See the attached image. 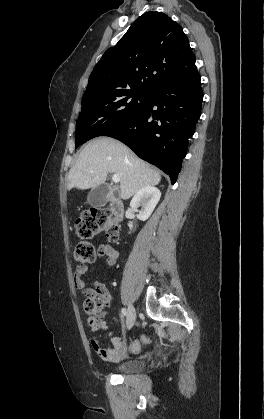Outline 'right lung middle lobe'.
<instances>
[{
  "label": "right lung middle lobe",
  "instance_id": "right-lung-middle-lobe-1",
  "mask_svg": "<svg viewBox=\"0 0 264 419\" xmlns=\"http://www.w3.org/2000/svg\"><path fill=\"white\" fill-rule=\"evenodd\" d=\"M149 94V90L134 88L84 96L77 120L75 148L94 137L102 136L133 115L147 102Z\"/></svg>",
  "mask_w": 264,
  "mask_h": 419
}]
</instances>
